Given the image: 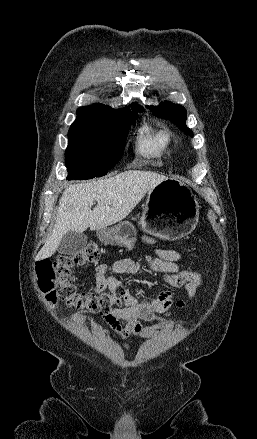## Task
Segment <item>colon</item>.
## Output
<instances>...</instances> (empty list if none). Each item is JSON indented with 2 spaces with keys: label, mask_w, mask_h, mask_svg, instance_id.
<instances>
[{
  "label": "colon",
  "mask_w": 257,
  "mask_h": 439,
  "mask_svg": "<svg viewBox=\"0 0 257 439\" xmlns=\"http://www.w3.org/2000/svg\"><path fill=\"white\" fill-rule=\"evenodd\" d=\"M99 250L95 244L85 246L75 254L60 255L52 260H43L36 266L38 286L49 306L64 302L67 306L106 314L113 306H123L127 290L119 286L115 290L79 292L72 271L78 265L95 262ZM165 281L173 287L202 284V275L198 272L182 270L165 276Z\"/></svg>",
  "instance_id": "1"
}]
</instances>
